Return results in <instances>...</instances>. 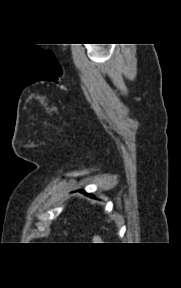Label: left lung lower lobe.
<instances>
[{
  "label": "left lung lower lobe",
  "instance_id": "1",
  "mask_svg": "<svg viewBox=\"0 0 181 288\" xmlns=\"http://www.w3.org/2000/svg\"><path fill=\"white\" fill-rule=\"evenodd\" d=\"M81 192H84L83 190H81ZM89 196H91L90 194H89Z\"/></svg>",
  "mask_w": 181,
  "mask_h": 288
}]
</instances>
